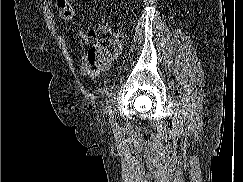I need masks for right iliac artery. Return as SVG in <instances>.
Instances as JSON below:
<instances>
[{"label":"right iliac artery","instance_id":"1","mask_svg":"<svg viewBox=\"0 0 243 182\" xmlns=\"http://www.w3.org/2000/svg\"><path fill=\"white\" fill-rule=\"evenodd\" d=\"M108 115H109V121L111 123V126H112L113 130L116 131L118 126L114 120V112H113L111 106L108 107Z\"/></svg>","mask_w":243,"mask_h":182}]
</instances>
